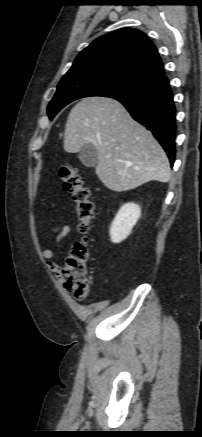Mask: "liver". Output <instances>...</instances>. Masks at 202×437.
<instances>
[{
    "label": "liver",
    "instance_id": "1",
    "mask_svg": "<svg viewBox=\"0 0 202 437\" xmlns=\"http://www.w3.org/2000/svg\"><path fill=\"white\" fill-rule=\"evenodd\" d=\"M86 143L97 151L98 178L112 191H128L149 181L167 182L171 177L161 145L112 98H84L69 113L64 150L77 153Z\"/></svg>",
    "mask_w": 202,
    "mask_h": 437
}]
</instances>
